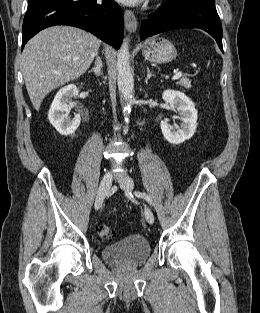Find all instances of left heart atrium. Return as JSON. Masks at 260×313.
Masks as SVG:
<instances>
[{"label":"left heart atrium","instance_id":"39dd6f15","mask_svg":"<svg viewBox=\"0 0 260 313\" xmlns=\"http://www.w3.org/2000/svg\"><path fill=\"white\" fill-rule=\"evenodd\" d=\"M119 1H121L122 3L127 4V5H137L141 2H143L144 0H119Z\"/></svg>","mask_w":260,"mask_h":313}]
</instances>
